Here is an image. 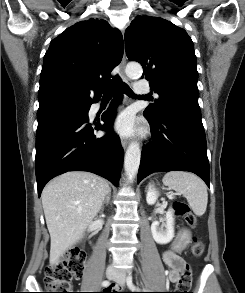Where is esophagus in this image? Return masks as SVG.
<instances>
[{
  "instance_id": "34e87169",
  "label": "esophagus",
  "mask_w": 245,
  "mask_h": 293,
  "mask_svg": "<svg viewBox=\"0 0 245 293\" xmlns=\"http://www.w3.org/2000/svg\"><path fill=\"white\" fill-rule=\"evenodd\" d=\"M123 39H124V35H123ZM125 65H126V56H125V45H124L123 57H122V60L119 64V74L124 82L131 84L132 83L131 80L126 76L125 71H124ZM128 143H129V141L125 138H123L121 140V144L124 149L127 147Z\"/></svg>"
}]
</instances>
